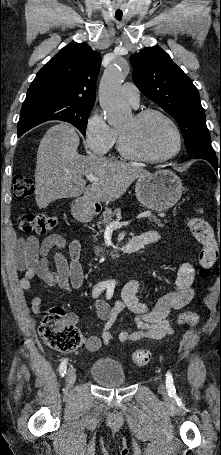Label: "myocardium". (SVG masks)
Listing matches in <instances>:
<instances>
[{"mask_svg": "<svg viewBox=\"0 0 221 455\" xmlns=\"http://www.w3.org/2000/svg\"><path fill=\"white\" fill-rule=\"evenodd\" d=\"M150 116L161 117L171 127V129L174 133V136H175V140H176V145H175L174 150L171 153H169L168 155H165L163 157H149V156L142 155V154L134 151L130 147L125 133L122 132L121 130L118 131V149L124 157H126L130 160H133V161H138V162H143V163H164V162H167V161L173 159L180 153L181 148H182L181 132H180L177 124L175 123V121L167 113H165L164 111H162L160 109L147 108V109L140 110L133 115L134 119L138 122L143 121Z\"/></svg>", "mask_w": 221, "mask_h": 455, "instance_id": "myocardium-1", "label": "myocardium"}]
</instances>
